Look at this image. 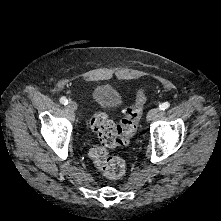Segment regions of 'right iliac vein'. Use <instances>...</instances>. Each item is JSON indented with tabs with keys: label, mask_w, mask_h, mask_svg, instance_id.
Here are the masks:
<instances>
[{
	"label": "right iliac vein",
	"mask_w": 221,
	"mask_h": 221,
	"mask_svg": "<svg viewBox=\"0 0 221 221\" xmlns=\"http://www.w3.org/2000/svg\"><path fill=\"white\" fill-rule=\"evenodd\" d=\"M77 103L74 102V101H70L69 104H68V108L72 111H76L77 110Z\"/></svg>",
	"instance_id": "1"
}]
</instances>
